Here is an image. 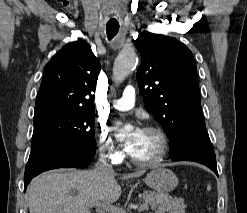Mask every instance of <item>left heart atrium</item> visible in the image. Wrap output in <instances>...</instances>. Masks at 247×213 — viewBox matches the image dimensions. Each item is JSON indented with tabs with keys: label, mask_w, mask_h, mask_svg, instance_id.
I'll list each match as a JSON object with an SVG mask.
<instances>
[{
	"label": "left heart atrium",
	"mask_w": 247,
	"mask_h": 213,
	"mask_svg": "<svg viewBox=\"0 0 247 213\" xmlns=\"http://www.w3.org/2000/svg\"><path fill=\"white\" fill-rule=\"evenodd\" d=\"M143 130L140 127H137L131 137L125 142V149L127 152L132 154V152L135 150L141 136H142Z\"/></svg>",
	"instance_id": "obj_1"
}]
</instances>
